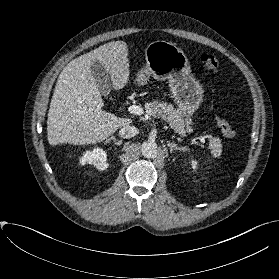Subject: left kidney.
I'll list each match as a JSON object with an SVG mask.
<instances>
[{
  "label": "left kidney",
  "instance_id": "left-kidney-1",
  "mask_svg": "<svg viewBox=\"0 0 279 279\" xmlns=\"http://www.w3.org/2000/svg\"><path fill=\"white\" fill-rule=\"evenodd\" d=\"M191 166H192V168L195 170V169H197V161H195V160H191Z\"/></svg>",
  "mask_w": 279,
  "mask_h": 279
}]
</instances>
